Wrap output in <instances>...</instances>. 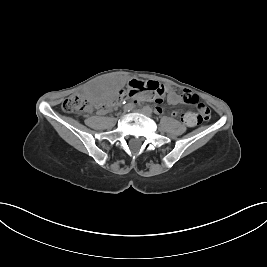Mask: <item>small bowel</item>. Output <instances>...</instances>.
Returning <instances> with one entry per match:
<instances>
[{"mask_svg": "<svg viewBox=\"0 0 267 267\" xmlns=\"http://www.w3.org/2000/svg\"><path fill=\"white\" fill-rule=\"evenodd\" d=\"M168 90V95H167V101L168 103L172 104V105H177L180 104L181 102H183L182 100V95L178 94L174 89H172L171 87H167ZM112 92V88L108 87L106 89V93L104 95L103 101H105L106 99H108V97H110ZM108 102V101H107ZM106 102V103H107ZM105 103V104H106ZM105 106H101L100 108V112L101 113H107L108 110L104 108ZM157 109L159 111H162V109L160 107H157ZM196 113H192V112H188V113H179V112H174L173 115L174 116H180L181 120L189 127L195 126L196 124H198L199 122L197 121L196 118Z\"/></svg>", "mask_w": 267, "mask_h": 267, "instance_id": "c3829d8e", "label": "small bowel"}]
</instances>
